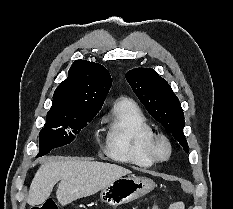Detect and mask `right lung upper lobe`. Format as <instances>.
Here are the masks:
<instances>
[{
	"label": "right lung upper lobe",
	"mask_w": 233,
	"mask_h": 209,
	"mask_svg": "<svg viewBox=\"0 0 233 209\" xmlns=\"http://www.w3.org/2000/svg\"><path fill=\"white\" fill-rule=\"evenodd\" d=\"M112 85L105 67L86 60H76L68 78L55 90L47 115H56L79 108H101Z\"/></svg>",
	"instance_id": "obj_1"
}]
</instances>
